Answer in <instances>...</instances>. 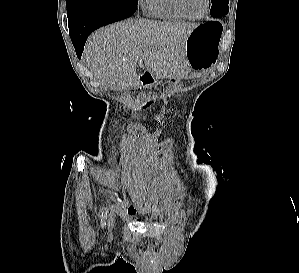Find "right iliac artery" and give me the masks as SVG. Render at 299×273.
Returning a JSON list of instances; mask_svg holds the SVG:
<instances>
[{
    "label": "right iliac artery",
    "instance_id": "obj_1",
    "mask_svg": "<svg viewBox=\"0 0 299 273\" xmlns=\"http://www.w3.org/2000/svg\"><path fill=\"white\" fill-rule=\"evenodd\" d=\"M106 217H107V216H106V209H105V213L102 215V221H103V222H105Z\"/></svg>",
    "mask_w": 299,
    "mask_h": 273
}]
</instances>
